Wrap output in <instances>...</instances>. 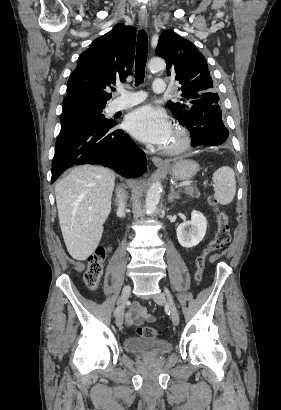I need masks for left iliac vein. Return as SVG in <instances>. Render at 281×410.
Instances as JSON below:
<instances>
[{"label":"left iliac vein","instance_id":"4c4485c4","mask_svg":"<svg viewBox=\"0 0 281 410\" xmlns=\"http://www.w3.org/2000/svg\"><path fill=\"white\" fill-rule=\"evenodd\" d=\"M167 296L169 297L170 300V306H171V319L172 322L175 326H177L180 322V316L178 314V312L174 309L173 306V302H172V296L168 293ZM154 301L158 304V305H165L166 304V297L163 293H158L157 295L154 296Z\"/></svg>","mask_w":281,"mask_h":410}]
</instances>
